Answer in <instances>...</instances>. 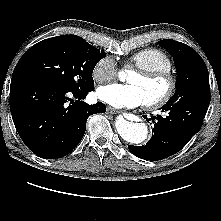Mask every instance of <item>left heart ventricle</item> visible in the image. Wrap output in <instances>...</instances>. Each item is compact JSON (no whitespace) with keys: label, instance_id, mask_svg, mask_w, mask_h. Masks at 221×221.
<instances>
[{"label":"left heart ventricle","instance_id":"obj_1","mask_svg":"<svg viewBox=\"0 0 221 221\" xmlns=\"http://www.w3.org/2000/svg\"><path fill=\"white\" fill-rule=\"evenodd\" d=\"M127 81L128 83L134 84L141 89L146 102L159 98L167 89L166 81L160 79H146L135 72L128 76Z\"/></svg>","mask_w":221,"mask_h":221}]
</instances>
